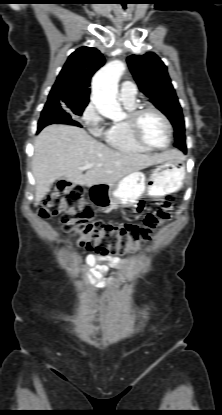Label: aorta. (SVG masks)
I'll list each match as a JSON object with an SVG mask.
<instances>
[{
  "label": "aorta",
  "instance_id": "1",
  "mask_svg": "<svg viewBox=\"0 0 222 415\" xmlns=\"http://www.w3.org/2000/svg\"><path fill=\"white\" fill-rule=\"evenodd\" d=\"M125 71V64L114 60L102 67L92 80V102L98 112L107 118L122 117V109L117 101L118 82Z\"/></svg>",
  "mask_w": 222,
  "mask_h": 415
}]
</instances>
